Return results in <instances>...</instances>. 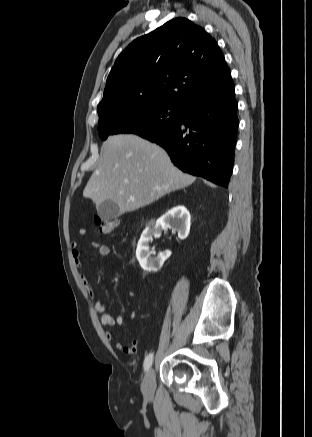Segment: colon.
<instances>
[{"mask_svg":"<svg viewBox=\"0 0 312 437\" xmlns=\"http://www.w3.org/2000/svg\"><path fill=\"white\" fill-rule=\"evenodd\" d=\"M118 219H106L100 216L95 217V225L100 234H110L119 227Z\"/></svg>","mask_w":312,"mask_h":437,"instance_id":"1","label":"colon"}]
</instances>
